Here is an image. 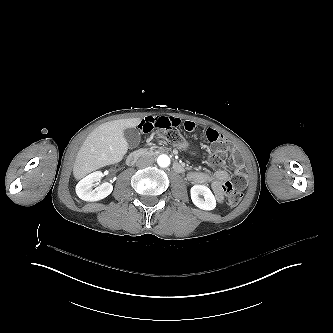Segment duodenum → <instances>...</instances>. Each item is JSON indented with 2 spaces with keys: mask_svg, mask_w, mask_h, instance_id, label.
Listing matches in <instances>:
<instances>
[{
  "mask_svg": "<svg viewBox=\"0 0 333 333\" xmlns=\"http://www.w3.org/2000/svg\"><path fill=\"white\" fill-rule=\"evenodd\" d=\"M146 153H147V151H146V150H143V149L135 150V151L131 152V153L128 155V157H127V159H126V163H127L128 165L132 166V165H134V164L138 161V159H139L140 157H142V156L145 155ZM173 166H174V169H175L177 172H182V171H183V165H182L180 162L175 161Z\"/></svg>",
  "mask_w": 333,
  "mask_h": 333,
  "instance_id": "obj_1",
  "label": "duodenum"
}]
</instances>
